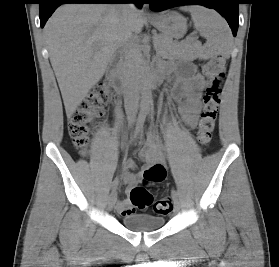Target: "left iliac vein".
<instances>
[{
  "label": "left iliac vein",
  "instance_id": "obj_1",
  "mask_svg": "<svg viewBox=\"0 0 279 267\" xmlns=\"http://www.w3.org/2000/svg\"><path fill=\"white\" fill-rule=\"evenodd\" d=\"M173 201H174V211L175 212H178L180 210V203H179V200L178 198H173Z\"/></svg>",
  "mask_w": 279,
  "mask_h": 267
}]
</instances>
